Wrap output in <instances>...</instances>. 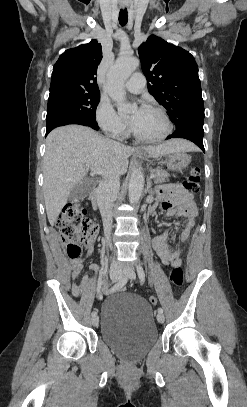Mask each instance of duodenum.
<instances>
[{
    "mask_svg": "<svg viewBox=\"0 0 247 407\" xmlns=\"http://www.w3.org/2000/svg\"><path fill=\"white\" fill-rule=\"evenodd\" d=\"M89 200L95 210L102 212L103 204L100 196V191L97 188L91 191L89 195Z\"/></svg>",
    "mask_w": 247,
    "mask_h": 407,
    "instance_id": "1",
    "label": "duodenum"
}]
</instances>
